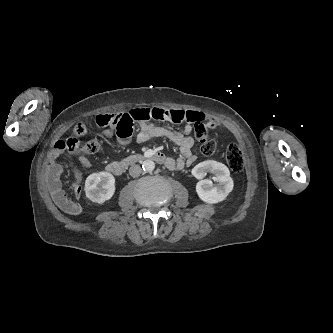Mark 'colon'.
I'll use <instances>...</instances> for the list:
<instances>
[{"instance_id": "5ec220e1", "label": "colon", "mask_w": 333, "mask_h": 333, "mask_svg": "<svg viewBox=\"0 0 333 333\" xmlns=\"http://www.w3.org/2000/svg\"><path fill=\"white\" fill-rule=\"evenodd\" d=\"M95 122L100 127H111L117 135H126L130 132V124L125 113H108L100 114L96 117ZM87 133L84 124L78 123L73 127L72 135L64 140L57 141L53 146V155L68 151L74 155L83 157L85 155L97 152L101 147L99 140H91L81 143L79 137ZM195 136L200 142L202 154L209 156L215 153L216 143L209 136L207 127L202 123L195 124ZM226 162L229 168L238 173L243 169V155L240 148L235 144H230L226 149Z\"/></svg>"}]
</instances>
